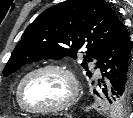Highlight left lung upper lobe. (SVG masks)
<instances>
[{
	"label": "left lung upper lobe",
	"instance_id": "obj_1",
	"mask_svg": "<svg viewBox=\"0 0 133 118\" xmlns=\"http://www.w3.org/2000/svg\"><path fill=\"white\" fill-rule=\"evenodd\" d=\"M122 22L104 0H67L42 12L30 24L7 62L3 74L7 76L21 66L41 59L76 58L84 48L83 63L87 75L91 72L87 63L98 61L105 47L116 35ZM109 90V89H108ZM107 104L112 115H122L131 104V93L119 99L110 95Z\"/></svg>",
	"mask_w": 133,
	"mask_h": 118
}]
</instances>
